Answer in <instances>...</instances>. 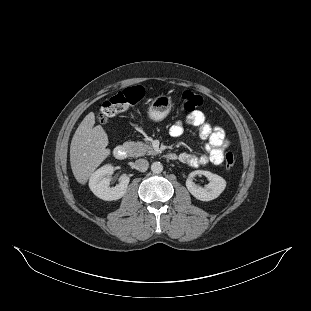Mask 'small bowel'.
<instances>
[{"label": "small bowel", "instance_id": "c3829d8e", "mask_svg": "<svg viewBox=\"0 0 311 311\" xmlns=\"http://www.w3.org/2000/svg\"><path fill=\"white\" fill-rule=\"evenodd\" d=\"M186 123L194 126L199 131V136L206 142L205 153H182L179 160L191 167H199L208 162L214 165H220L224 158V152L229 146L224 130L220 126H212L208 123L205 114L201 111H195L186 118ZM184 125L181 121L174 122L169 133L172 137H180L183 134Z\"/></svg>", "mask_w": 311, "mask_h": 311}]
</instances>
